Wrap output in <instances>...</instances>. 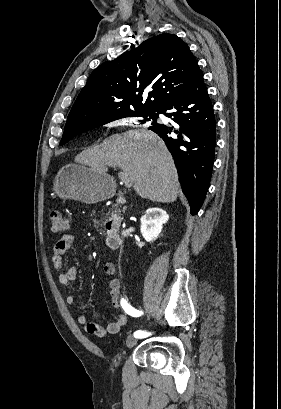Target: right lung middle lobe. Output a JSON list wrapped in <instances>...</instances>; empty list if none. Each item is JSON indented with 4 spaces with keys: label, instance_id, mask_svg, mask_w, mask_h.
<instances>
[{
    "label": "right lung middle lobe",
    "instance_id": "obj_1",
    "mask_svg": "<svg viewBox=\"0 0 281 409\" xmlns=\"http://www.w3.org/2000/svg\"><path fill=\"white\" fill-rule=\"evenodd\" d=\"M125 117H143L145 119H147V117H149L150 119H152L153 121L156 120V118L158 117V114H156L155 112H151V111H130V112H124V113H120L114 116H110L108 118L102 119L98 122H95L93 124H90L88 126H84V127H69V128H65L64 129V133H63V137L61 139L60 145H63L65 143H67L69 140H71L73 137H75L76 135L88 131L90 129L102 126L104 124H107L111 121L117 120V119H121V118H125ZM147 119V120H150Z\"/></svg>",
    "mask_w": 281,
    "mask_h": 409
}]
</instances>
